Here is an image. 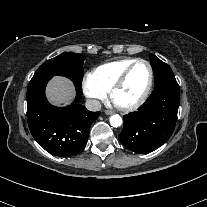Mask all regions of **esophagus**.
<instances>
[{
  "mask_svg": "<svg viewBox=\"0 0 207 207\" xmlns=\"http://www.w3.org/2000/svg\"><path fill=\"white\" fill-rule=\"evenodd\" d=\"M105 114H106V115H112V114H113V112H112V111H110V110H106V111H105Z\"/></svg>",
  "mask_w": 207,
  "mask_h": 207,
  "instance_id": "34e87169",
  "label": "esophagus"
}]
</instances>
